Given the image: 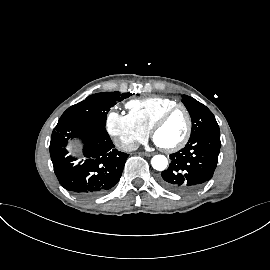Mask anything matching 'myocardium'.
<instances>
[{"label": "myocardium", "mask_w": 270, "mask_h": 270, "mask_svg": "<svg viewBox=\"0 0 270 270\" xmlns=\"http://www.w3.org/2000/svg\"><path fill=\"white\" fill-rule=\"evenodd\" d=\"M177 110L184 111V113L186 115V119H187V128H186V132H185L184 136L182 137V139L178 143H176L175 145L170 146V147H161L160 146L161 149L167 153H173V152H176V151L182 149L189 141V139L191 137V133H192V128H193L192 116H191L189 109L185 105L177 103V104L169 107L168 109H166L157 118V120L154 122V124L151 128V136L154 139L156 132L166 123V121L170 118V116Z\"/></svg>", "instance_id": "myocardium-1"}]
</instances>
